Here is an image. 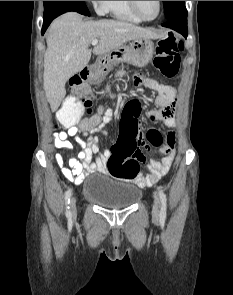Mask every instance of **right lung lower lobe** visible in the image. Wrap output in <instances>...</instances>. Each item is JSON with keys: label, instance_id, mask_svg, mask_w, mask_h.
<instances>
[{"label": "right lung lower lobe", "instance_id": "98d812e1", "mask_svg": "<svg viewBox=\"0 0 233 295\" xmlns=\"http://www.w3.org/2000/svg\"><path fill=\"white\" fill-rule=\"evenodd\" d=\"M69 11H75L80 14L90 16L84 1H57L45 4L42 34H44L53 19Z\"/></svg>", "mask_w": 233, "mask_h": 295}]
</instances>
